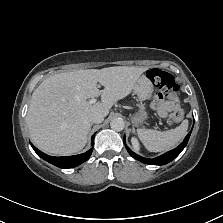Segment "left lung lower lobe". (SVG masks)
<instances>
[{
    "mask_svg": "<svg viewBox=\"0 0 223 223\" xmlns=\"http://www.w3.org/2000/svg\"><path fill=\"white\" fill-rule=\"evenodd\" d=\"M192 132V129L191 131L187 134V136L185 137L184 141L175 149L159 156V157H156V158H153V159H148V158H143L137 154H135L131 149H129L127 146H126V149L128 151V153L135 159L145 163V164H151V165H165L169 162H171L173 159H175L181 152L182 150L185 148V146L187 145L188 143V140H189V137H190V134ZM125 142V140H124Z\"/></svg>",
    "mask_w": 223,
    "mask_h": 223,
    "instance_id": "obj_1",
    "label": "left lung lower lobe"
}]
</instances>
